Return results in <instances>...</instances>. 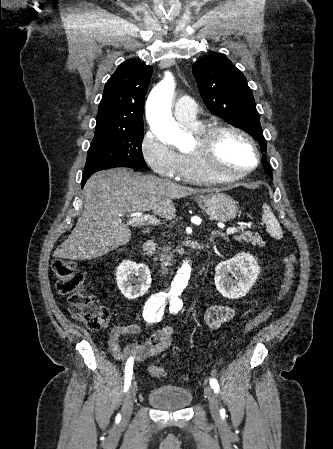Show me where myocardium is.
<instances>
[{
    "label": "myocardium",
    "mask_w": 333,
    "mask_h": 449,
    "mask_svg": "<svg viewBox=\"0 0 333 449\" xmlns=\"http://www.w3.org/2000/svg\"><path fill=\"white\" fill-rule=\"evenodd\" d=\"M229 133L236 134L246 140L255 154L254 164L243 172L236 174L222 172L214 164L218 142L223 135ZM193 152L198 157L205 173L218 182H235L245 179L259 166L261 161L260 150L253 137L246 131L233 125H211L205 127L198 133L197 143Z\"/></svg>",
    "instance_id": "f54148a6"
}]
</instances>
